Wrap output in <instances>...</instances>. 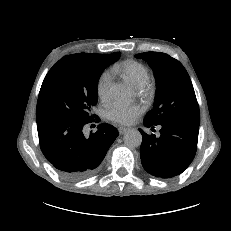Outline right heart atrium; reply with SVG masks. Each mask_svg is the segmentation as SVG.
Masks as SVG:
<instances>
[{
	"mask_svg": "<svg viewBox=\"0 0 231 231\" xmlns=\"http://www.w3.org/2000/svg\"><path fill=\"white\" fill-rule=\"evenodd\" d=\"M111 85V74L108 71L103 72L96 84V92L100 100L107 101L110 98Z\"/></svg>",
	"mask_w": 231,
	"mask_h": 231,
	"instance_id": "1",
	"label": "right heart atrium"
}]
</instances>
